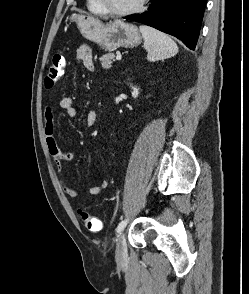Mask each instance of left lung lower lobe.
Wrapping results in <instances>:
<instances>
[{
  "label": "left lung lower lobe",
  "instance_id": "left-lung-lower-lobe-1",
  "mask_svg": "<svg viewBox=\"0 0 249 294\" xmlns=\"http://www.w3.org/2000/svg\"><path fill=\"white\" fill-rule=\"evenodd\" d=\"M206 3L207 0H151L148 11L124 18L173 35L194 50Z\"/></svg>",
  "mask_w": 249,
  "mask_h": 294
}]
</instances>
